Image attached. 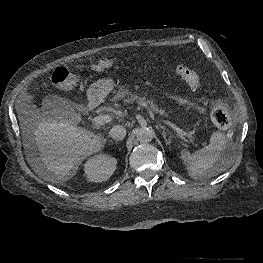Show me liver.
<instances>
[{"label": "liver", "mask_w": 263, "mask_h": 263, "mask_svg": "<svg viewBox=\"0 0 263 263\" xmlns=\"http://www.w3.org/2000/svg\"><path fill=\"white\" fill-rule=\"evenodd\" d=\"M17 112L25 148H30L33 134L39 152L37 158L29 153L28 162L39 176L52 183L68 180L85 158L104 148L106 140L102 136L72 122H56L30 108Z\"/></svg>", "instance_id": "6515ba94"}]
</instances>
